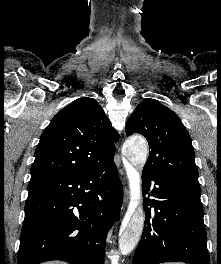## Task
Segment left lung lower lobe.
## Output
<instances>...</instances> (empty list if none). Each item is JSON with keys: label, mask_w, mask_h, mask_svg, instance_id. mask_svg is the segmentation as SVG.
<instances>
[{"label": "left lung lower lobe", "mask_w": 221, "mask_h": 264, "mask_svg": "<svg viewBox=\"0 0 221 264\" xmlns=\"http://www.w3.org/2000/svg\"><path fill=\"white\" fill-rule=\"evenodd\" d=\"M145 225L132 264H210L201 189L143 171Z\"/></svg>", "instance_id": "0a47b994"}]
</instances>
